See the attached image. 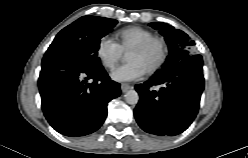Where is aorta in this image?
Segmentation results:
<instances>
[{
	"mask_svg": "<svg viewBox=\"0 0 248 158\" xmlns=\"http://www.w3.org/2000/svg\"><path fill=\"white\" fill-rule=\"evenodd\" d=\"M125 101L130 105H135L139 101V95L135 90H129L125 94Z\"/></svg>",
	"mask_w": 248,
	"mask_h": 158,
	"instance_id": "aorta-1",
	"label": "aorta"
}]
</instances>
